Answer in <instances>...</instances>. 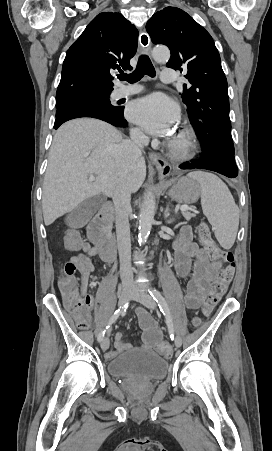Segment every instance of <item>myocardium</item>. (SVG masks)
Returning a JSON list of instances; mask_svg holds the SVG:
<instances>
[{
  "instance_id": "f54148a6",
  "label": "myocardium",
  "mask_w": 272,
  "mask_h": 451,
  "mask_svg": "<svg viewBox=\"0 0 272 451\" xmlns=\"http://www.w3.org/2000/svg\"><path fill=\"white\" fill-rule=\"evenodd\" d=\"M192 137H193L192 132L188 128H185L183 131V143L178 145V149L180 150L186 149L189 146Z\"/></svg>"
}]
</instances>
